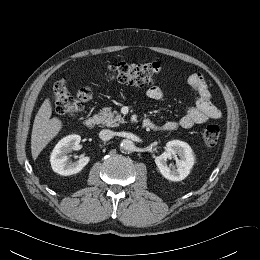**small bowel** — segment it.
Masks as SVG:
<instances>
[{"label":"small bowel","instance_id":"small-bowel-1","mask_svg":"<svg viewBox=\"0 0 260 260\" xmlns=\"http://www.w3.org/2000/svg\"><path fill=\"white\" fill-rule=\"evenodd\" d=\"M187 84L197 92L196 104L186 109L184 116L178 121H167L162 125L153 123L154 130L173 131L178 128H191L196 124L205 123L211 119H219L221 111L211 102L210 92L201 73H192ZM147 96L152 100H160L164 96V91L159 86H152L147 90Z\"/></svg>","mask_w":260,"mask_h":260}]
</instances>
